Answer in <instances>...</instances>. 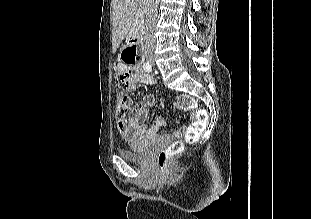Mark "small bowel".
<instances>
[{"label": "small bowel", "mask_w": 311, "mask_h": 219, "mask_svg": "<svg viewBox=\"0 0 311 219\" xmlns=\"http://www.w3.org/2000/svg\"><path fill=\"white\" fill-rule=\"evenodd\" d=\"M115 69L119 75L126 77L127 87L129 91H134L140 81L148 84L154 83V80L146 76L139 66H129L121 62L115 64ZM155 97L146 94L141 97L140 105L133 106L130 109L129 117L126 120L117 122L118 132L125 138L128 143L135 144L137 142H147L155 138L159 130L166 126L164 117L156 116L153 123L145 126V118L147 116V108L155 105Z\"/></svg>", "instance_id": "small-bowel-1"}]
</instances>
